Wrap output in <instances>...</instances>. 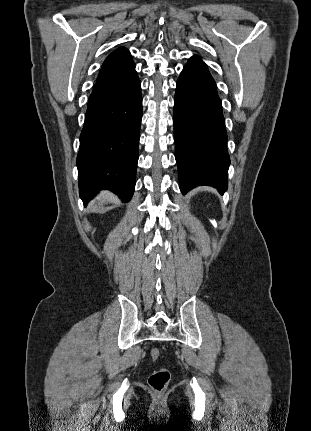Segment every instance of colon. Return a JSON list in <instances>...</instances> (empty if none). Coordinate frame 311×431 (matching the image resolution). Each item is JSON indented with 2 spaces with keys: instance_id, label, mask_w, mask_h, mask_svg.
<instances>
[{
  "instance_id": "1",
  "label": "colon",
  "mask_w": 311,
  "mask_h": 431,
  "mask_svg": "<svg viewBox=\"0 0 311 431\" xmlns=\"http://www.w3.org/2000/svg\"><path fill=\"white\" fill-rule=\"evenodd\" d=\"M153 361H157L160 356L158 348H153L150 352ZM170 372L166 368H159L151 373L148 379L149 386L157 393H162L166 390L170 381Z\"/></svg>"
}]
</instances>
